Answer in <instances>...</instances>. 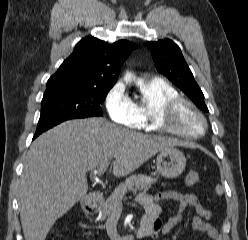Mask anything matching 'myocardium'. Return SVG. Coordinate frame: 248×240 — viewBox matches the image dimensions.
<instances>
[{
  "instance_id": "myocardium-1",
  "label": "myocardium",
  "mask_w": 248,
  "mask_h": 240,
  "mask_svg": "<svg viewBox=\"0 0 248 240\" xmlns=\"http://www.w3.org/2000/svg\"><path fill=\"white\" fill-rule=\"evenodd\" d=\"M184 106L192 109L194 113L202 120L203 130L200 133H189L181 130L176 126L177 114ZM156 124L161 130L165 132L191 139H196L203 136L208 128L207 119L200 109L191 100L180 95L168 99L160 106L156 116Z\"/></svg>"
}]
</instances>
